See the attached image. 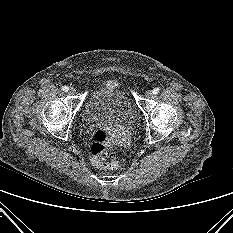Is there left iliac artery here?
<instances>
[{
	"mask_svg": "<svg viewBox=\"0 0 233 233\" xmlns=\"http://www.w3.org/2000/svg\"><path fill=\"white\" fill-rule=\"evenodd\" d=\"M152 91H153V94H158L160 90L159 88H154Z\"/></svg>",
	"mask_w": 233,
	"mask_h": 233,
	"instance_id": "obj_1",
	"label": "left iliac artery"
}]
</instances>
